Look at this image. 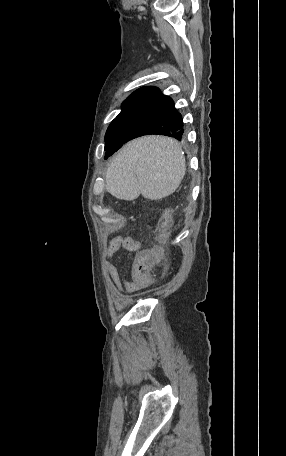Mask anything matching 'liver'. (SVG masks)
Masks as SVG:
<instances>
[{"instance_id":"obj_1","label":"liver","mask_w":286,"mask_h":456,"mask_svg":"<svg viewBox=\"0 0 286 456\" xmlns=\"http://www.w3.org/2000/svg\"><path fill=\"white\" fill-rule=\"evenodd\" d=\"M185 171V158L174 139L144 136L129 142L111 161L106 190L121 200L131 201L140 194L159 200L176 191Z\"/></svg>"}]
</instances>
